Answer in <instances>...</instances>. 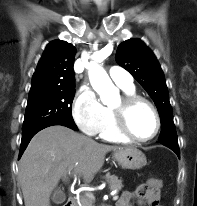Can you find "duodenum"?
<instances>
[{
  "mask_svg": "<svg viewBox=\"0 0 197 206\" xmlns=\"http://www.w3.org/2000/svg\"><path fill=\"white\" fill-rule=\"evenodd\" d=\"M64 206H76V200L74 198H69L65 202Z\"/></svg>",
  "mask_w": 197,
  "mask_h": 206,
  "instance_id": "1",
  "label": "duodenum"
}]
</instances>
